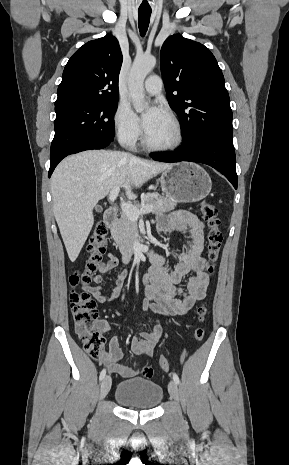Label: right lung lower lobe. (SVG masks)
<instances>
[{
  "mask_svg": "<svg viewBox=\"0 0 289 465\" xmlns=\"http://www.w3.org/2000/svg\"><path fill=\"white\" fill-rule=\"evenodd\" d=\"M111 143H112V141H109V140L96 139V140L85 141L82 144H79L78 146H76L72 150L67 151L66 153L60 155L56 159L50 160L49 177L53 173V171H54L55 167L57 166V164L63 158H65L67 155L78 153V152L85 151V150H90V149H102V148L108 146Z\"/></svg>",
  "mask_w": 289,
  "mask_h": 465,
  "instance_id": "obj_1",
  "label": "right lung lower lobe"
}]
</instances>
